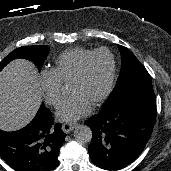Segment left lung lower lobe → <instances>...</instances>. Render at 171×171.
Here are the masks:
<instances>
[{
  "label": "left lung lower lobe",
  "instance_id": "left-lung-lower-lobe-1",
  "mask_svg": "<svg viewBox=\"0 0 171 171\" xmlns=\"http://www.w3.org/2000/svg\"><path fill=\"white\" fill-rule=\"evenodd\" d=\"M156 121V98L131 96L100 111L85 124L92 129V162L105 170H119L143 151Z\"/></svg>",
  "mask_w": 171,
  "mask_h": 171
}]
</instances>
